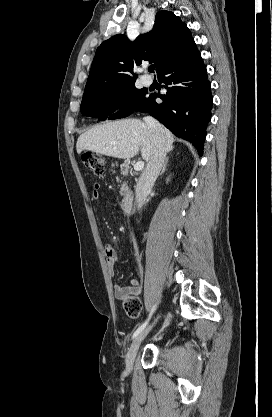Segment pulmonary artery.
<instances>
[{"label": "pulmonary artery", "instance_id": "1", "mask_svg": "<svg viewBox=\"0 0 272 417\" xmlns=\"http://www.w3.org/2000/svg\"><path fill=\"white\" fill-rule=\"evenodd\" d=\"M142 82H143L145 85H150V84L152 83V80H151V78H149V77H143V78H142Z\"/></svg>", "mask_w": 272, "mask_h": 417}]
</instances>
